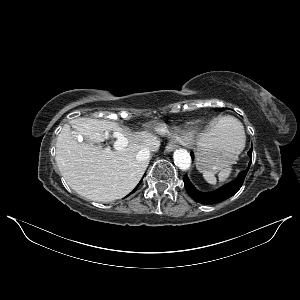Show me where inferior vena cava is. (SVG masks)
Wrapping results in <instances>:
<instances>
[{"label":"inferior vena cava","instance_id":"602c4592","mask_svg":"<svg viewBox=\"0 0 300 300\" xmlns=\"http://www.w3.org/2000/svg\"><path fill=\"white\" fill-rule=\"evenodd\" d=\"M160 146V141L157 139H154L151 143V149L149 148H143L141 149L137 155H136V159L138 161H148L149 160V155L151 151H157L159 149Z\"/></svg>","mask_w":300,"mask_h":300}]
</instances>
